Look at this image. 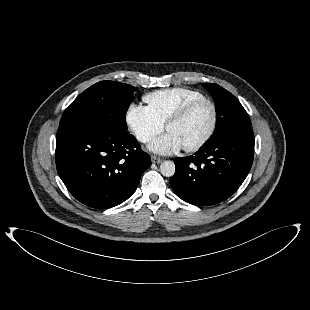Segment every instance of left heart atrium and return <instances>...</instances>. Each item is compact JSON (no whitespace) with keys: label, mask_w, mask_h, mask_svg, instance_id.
Returning <instances> with one entry per match:
<instances>
[{"label":"left heart atrium","mask_w":310,"mask_h":310,"mask_svg":"<svg viewBox=\"0 0 310 310\" xmlns=\"http://www.w3.org/2000/svg\"><path fill=\"white\" fill-rule=\"evenodd\" d=\"M183 148L181 141L173 133H166L154 140L150 145V151L159 155H171Z\"/></svg>","instance_id":"1"}]
</instances>
